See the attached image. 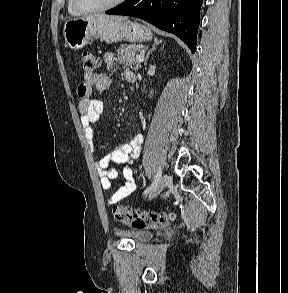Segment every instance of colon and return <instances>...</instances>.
Returning a JSON list of instances; mask_svg holds the SVG:
<instances>
[{
  "label": "colon",
  "mask_w": 288,
  "mask_h": 293,
  "mask_svg": "<svg viewBox=\"0 0 288 293\" xmlns=\"http://www.w3.org/2000/svg\"><path fill=\"white\" fill-rule=\"evenodd\" d=\"M82 65L85 74H91L99 66L98 57L88 51L82 53ZM112 214L117 221L135 228H161L166 226L173 218V214L140 212L127 206H114Z\"/></svg>",
  "instance_id": "colon-1"
}]
</instances>
